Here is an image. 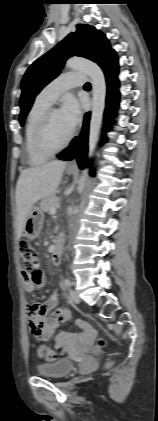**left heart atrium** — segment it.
Here are the masks:
<instances>
[{"label":"left heart atrium","mask_w":158,"mask_h":421,"mask_svg":"<svg viewBox=\"0 0 158 421\" xmlns=\"http://www.w3.org/2000/svg\"><path fill=\"white\" fill-rule=\"evenodd\" d=\"M59 112L65 124L72 131L80 121L81 117V110L78 101L74 97L68 96L64 100Z\"/></svg>","instance_id":"39dd6f15"}]
</instances>
